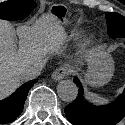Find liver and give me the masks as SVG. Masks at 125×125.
Instances as JSON below:
<instances>
[{
  "label": "liver",
  "instance_id": "6515ba94",
  "mask_svg": "<svg viewBox=\"0 0 125 125\" xmlns=\"http://www.w3.org/2000/svg\"><path fill=\"white\" fill-rule=\"evenodd\" d=\"M63 43L61 21L52 15H42L31 26H19L16 30L0 20V100L20 85L24 70L45 62L46 56L58 53Z\"/></svg>",
  "mask_w": 125,
  "mask_h": 125
}]
</instances>
